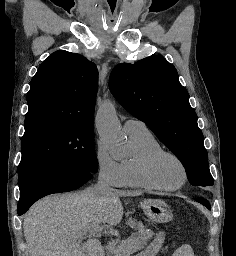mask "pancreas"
Masks as SVG:
<instances>
[{
    "label": "pancreas",
    "instance_id": "1",
    "mask_svg": "<svg viewBox=\"0 0 236 256\" xmlns=\"http://www.w3.org/2000/svg\"><path fill=\"white\" fill-rule=\"evenodd\" d=\"M127 223L129 224L130 220H127ZM135 231L137 232V238H122V242L118 243L120 249L124 247L125 250H135L136 247L144 248V246H147L153 232H148L149 228L145 224H138ZM116 253H120V250H116Z\"/></svg>",
    "mask_w": 236,
    "mask_h": 256
}]
</instances>
